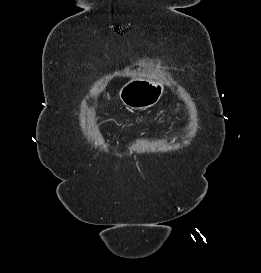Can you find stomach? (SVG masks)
I'll return each mask as SVG.
<instances>
[{"mask_svg":"<svg viewBox=\"0 0 261 273\" xmlns=\"http://www.w3.org/2000/svg\"><path fill=\"white\" fill-rule=\"evenodd\" d=\"M163 92V82L136 77L122 86L119 98L124 105L132 109H147L160 100Z\"/></svg>","mask_w":261,"mask_h":273,"instance_id":"stomach-1","label":"stomach"}]
</instances>
